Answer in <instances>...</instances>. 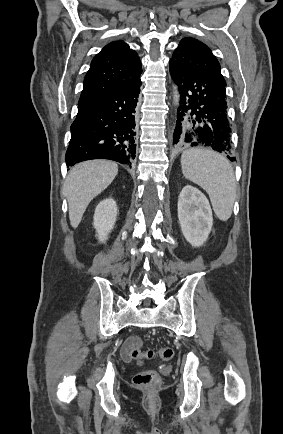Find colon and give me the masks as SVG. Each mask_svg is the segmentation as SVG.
<instances>
[{
	"mask_svg": "<svg viewBox=\"0 0 283 434\" xmlns=\"http://www.w3.org/2000/svg\"><path fill=\"white\" fill-rule=\"evenodd\" d=\"M129 355L134 360L139 359L143 356H145L148 359H151L156 356L161 360L167 361L173 357L174 352L169 347H163L156 351L149 349L146 352H143L138 347H132L130 349ZM160 381H161L160 375L153 370L141 371L137 373L133 378V383L139 387H154L158 385Z\"/></svg>",
	"mask_w": 283,
	"mask_h": 434,
	"instance_id": "colon-1",
	"label": "colon"
}]
</instances>
